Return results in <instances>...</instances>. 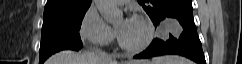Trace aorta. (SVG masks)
I'll return each instance as SVG.
<instances>
[{
  "instance_id": "762f6f07",
  "label": "aorta",
  "mask_w": 242,
  "mask_h": 64,
  "mask_svg": "<svg viewBox=\"0 0 242 64\" xmlns=\"http://www.w3.org/2000/svg\"><path fill=\"white\" fill-rule=\"evenodd\" d=\"M94 2L105 21L115 23L122 18L123 13L116 6L114 0H94Z\"/></svg>"
}]
</instances>
